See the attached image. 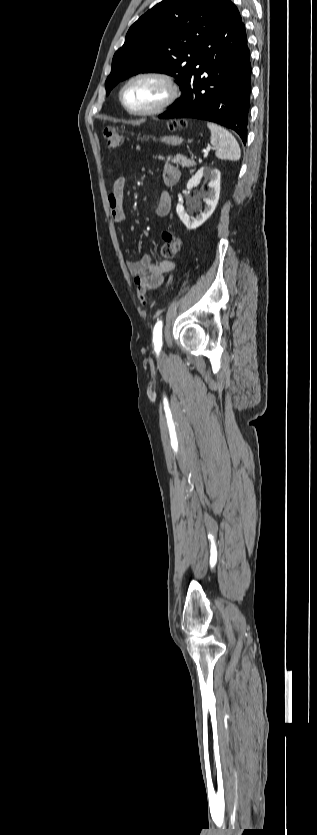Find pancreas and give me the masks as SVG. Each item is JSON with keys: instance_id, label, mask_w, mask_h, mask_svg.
I'll use <instances>...</instances> for the list:
<instances>
[{"instance_id": "pancreas-1", "label": "pancreas", "mask_w": 317, "mask_h": 835, "mask_svg": "<svg viewBox=\"0 0 317 835\" xmlns=\"http://www.w3.org/2000/svg\"><path fill=\"white\" fill-rule=\"evenodd\" d=\"M158 158H159L160 160H165V158H164L163 156H158ZM169 160H170L172 163H176L177 165H179V164H180L182 167H187V168H189V167H192V166H195V165H196V163H195V161H194L193 159H187V157H186V156H184V155H182V154H176L174 157H169V158H168V161H169Z\"/></svg>"}]
</instances>
